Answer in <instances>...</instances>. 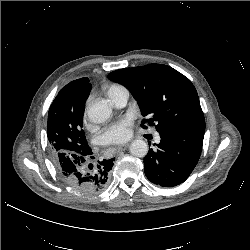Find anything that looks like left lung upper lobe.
Listing matches in <instances>:
<instances>
[{
  "label": "left lung upper lobe",
  "instance_id": "obj_1",
  "mask_svg": "<svg viewBox=\"0 0 250 250\" xmlns=\"http://www.w3.org/2000/svg\"><path fill=\"white\" fill-rule=\"evenodd\" d=\"M108 78L125 86L146 117V124L160 132L204 131L205 119L197 91L191 81L177 70L163 64L124 68L109 73Z\"/></svg>",
  "mask_w": 250,
  "mask_h": 250
}]
</instances>
